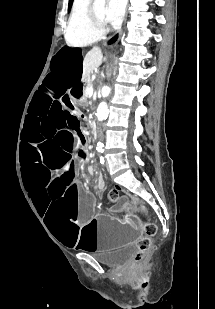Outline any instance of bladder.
I'll use <instances>...</instances> for the list:
<instances>
[{
	"label": "bladder",
	"instance_id": "1",
	"mask_svg": "<svg viewBox=\"0 0 215 309\" xmlns=\"http://www.w3.org/2000/svg\"><path fill=\"white\" fill-rule=\"evenodd\" d=\"M136 254V248L132 245L125 246L118 251L97 255L99 263L111 267L118 268L129 263Z\"/></svg>",
	"mask_w": 215,
	"mask_h": 309
}]
</instances>
